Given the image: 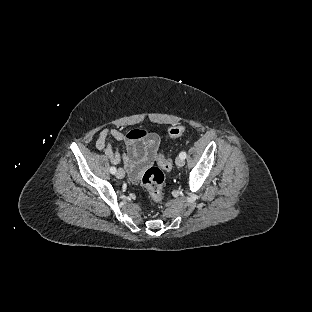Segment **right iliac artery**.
I'll return each mask as SVG.
<instances>
[{
	"label": "right iliac artery",
	"instance_id": "1",
	"mask_svg": "<svg viewBox=\"0 0 312 312\" xmlns=\"http://www.w3.org/2000/svg\"><path fill=\"white\" fill-rule=\"evenodd\" d=\"M110 172H111L112 174H115V173L117 172V170H116L115 167H111V168H110Z\"/></svg>",
	"mask_w": 312,
	"mask_h": 312
}]
</instances>
